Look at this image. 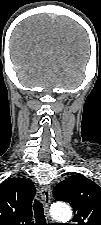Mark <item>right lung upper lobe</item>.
Masks as SVG:
<instances>
[{
  "label": "right lung upper lobe",
  "instance_id": "obj_1",
  "mask_svg": "<svg viewBox=\"0 0 101 225\" xmlns=\"http://www.w3.org/2000/svg\"><path fill=\"white\" fill-rule=\"evenodd\" d=\"M35 186L24 178H9L0 185V225H32Z\"/></svg>",
  "mask_w": 101,
  "mask_h": 225
}]
</instances>
